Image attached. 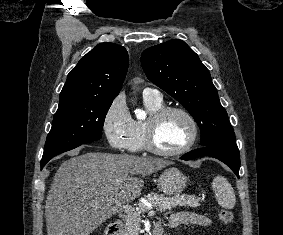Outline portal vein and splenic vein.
<instances>
[{
	"label": "portal vein and splenic vein",
	"instance_id": "1",
	"mask_svg": "<svg viewBox=\"0 0 283 235\" xmlns=\"http://www.w3.org/2000/svg\"><path fill=\"white\" fill-rule=\"evenodd\" d=\"M122 210L127 214V216L136 214L138 212V210H135L134 207H132L127 203L122 206ZM155 213H156L155 210L150 209V211L148 212V216H154Z\"/></svg>",
	"mask_w": 283,
	"mask_h": 235
}]
</instances>
